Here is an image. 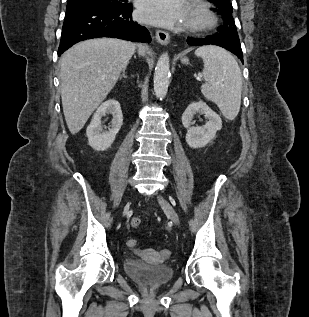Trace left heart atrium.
<instances>
[{
	"instance_id": "39dd6f15",
	"label": "left heart atrium",
	"mask_w": 309,
	"mask_h": 317,
	"mask_svg": "<svg viewBox=\"0 0 309 317\" xmlns=\"http://www.w3.org/2000/svg\"><path fill=\"white\" fill-rule=\"evenodd\" d=\"M189 12L187 0H141L137 7L140 21L168 28L184 25Z\"/></svg>"
}]
</instances>
